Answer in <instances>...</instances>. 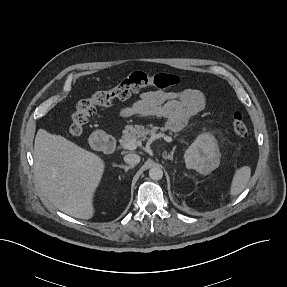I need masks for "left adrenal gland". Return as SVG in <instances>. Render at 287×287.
I'll use <instances>...</instances> for the list:
<instances>
[{"label":"left adrenal gland","mask_w":287,"mask_h":287,"mask_svg":"<svg viewBox=\"0 0 287 287\" xmlns=\"http://www.w3.org/2000/svg\"><path fill=\"white\" fill-rule=\"evenodd\" d=\"M175 149H176V147L173 148V150L170 152V154L165 153L164 158H165V159H169V160L172 161V160H173V155H174Z\"/></svg>","instance_id":"a2214340"}]
</instances>
